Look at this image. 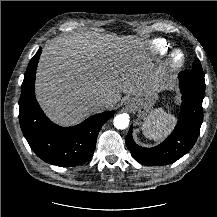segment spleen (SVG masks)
<instances>
[{
	"instance_id": "3e777b00",
	"label": "spleen",
	"mask_w": 217,
	"mask_h": 217,
	"mask_svg": "<svg viewBox=\"0 0 217 217\" xmlns=\"http://www.w3.org/2000/svg\"><path fill=\"white\" fill-rule=\"evenodd\" d=\"M175 123V117L163 109H156L143 124V134L146 138L158 141L167 136Z\"/></svg>"
}]
</instances>
